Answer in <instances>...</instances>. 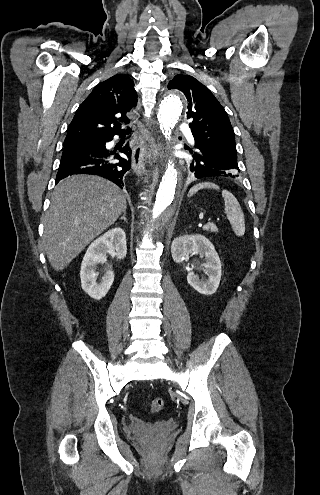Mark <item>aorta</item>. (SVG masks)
I'll list each match as a JSON object with an SVG mask.
<instances>
[{"label": "aorta", "mask_w": 320, "mask_h": 495, "mask_svg": "<svg viewBox=\"0 0 320 495\" xmlns=\"http://www.w3.org/2000/svg\"><path fill=\"white\" fill-rule=\"evenodd\" d=\"M182 101V92L172 90L168 92L159 107L157 118L160 129L166 137L170 136L172 129L179 120L182 112ZM176 186V169L172 162L169 161L157 191L155 203L145 224V232L148 238L156 239L175 214L178 205L174 200Z\"/></svg>", "instance_id": "aorta-1"}]
</instances>
